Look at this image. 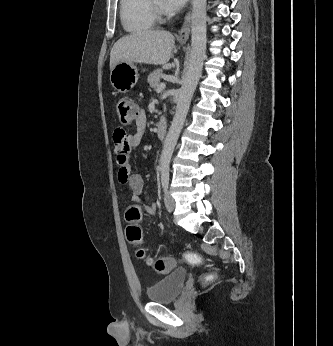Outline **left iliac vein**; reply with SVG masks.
I'll return each mask as SVG.
<instances>
[{
  "label": "left iliac vein",
  "mask_w": 333,
  "mask_h": 346,
  "mask_svg": "<svg viewBox=\"0 0 333 346\" xmlns=\"http://www.w3.org/2000/svg\"><path fill=\"white\" fill-rule=\"evenodd\" d=\"M164 202L168 212H172L175 209L176 202L168 191H165Z\"/></svg>",
  "instance_id": "1"
}]
</instances>
